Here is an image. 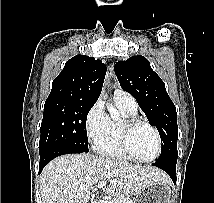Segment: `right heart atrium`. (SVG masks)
<instances>
[{
  "label": "right heart atrium",
  "mask_w": 214,
  "mask_h": 203,
  "mask_svg": "<svg viewBox=\"0 0 214 203\" xmlns=\"http://www.w3.org/2000/svg\"><path fill=\"white\" fill-rule=\"evenodd\" d=\"M110 118L105 111L103 100L99 99L88 111L85 130L88 139L94 144L103 139L110 129Z\"/></svg>",
  "instance_id": "right-heart-atrium-1"
}]
</instances>
